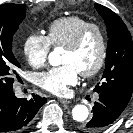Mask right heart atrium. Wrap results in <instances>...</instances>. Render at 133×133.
I'll use <instances>...</instances> for the list:
<instances>
[{
  "mask_svg": "<svg viewBox=\"0 0 133 133\" xmlns=\"http://www.w3.org/2000/svg\"><path fill=\"white\" fill-rule=\"evenodd\" d=\"M51 49L48 37L41 33L30 34L24 41L23 52L28 63L34 68L45 66Z\"/></svg>",
  "mask_w": 133,
  "mask_h": 133,
  "instance_id": "1",
  "label": "right heart atrium"
}]
</instances>
